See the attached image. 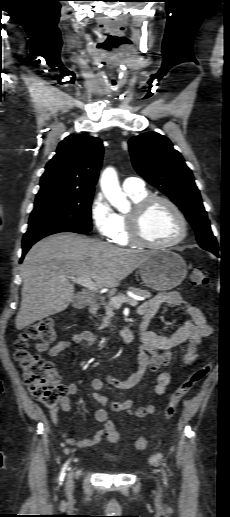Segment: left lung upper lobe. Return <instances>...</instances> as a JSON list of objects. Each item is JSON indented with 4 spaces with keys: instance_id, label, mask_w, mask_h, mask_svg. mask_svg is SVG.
Here are the masks:
<instances>
[{
    "instance_id": "5c2ea615",
    "label": "left lung upper lobe",
    "mask_w": 230,
    "mask_h": 517,
    "mask_svg": "<svg viewBox=\"0 0 230 517\" xmlns=\"http://www.w3.org/2000/svg\"><path fill=\"white\" fill-rule=\"evenodd\" d=\"M129 151L136 171L186 215L200 246L210 252L218 250L193 174L171 141L159 133L147 132L129 140Z\"/></svg>"
}]
</instances>
